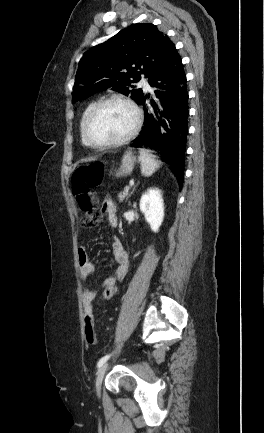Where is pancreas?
Returning <instances> with one entry per match:
<instances>
[{
	"mask_svg": "<svg viewBox=\"0 0 264 433\" xmlns=\"http://www.w3.org/2000/svg\"><path fill=\"white\" fill-rule=\"evenodd\" d=\"M128 193H126L125 191H122L118 194V198L119 201L122 202L126 197H127Z\"/></svg>",
	"mask_w": 264,
	"mask_h": 433,
	"instance_id": "cf45deb5",
	"label": "pancreas"
}]
</instances>
